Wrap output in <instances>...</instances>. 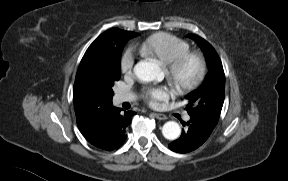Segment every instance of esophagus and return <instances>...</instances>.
<instances>
[{
  "label": "esophagus",
  "mask_w": 288,
  "mask_h": 181,
  "mask_svg": "<svg viewBox=\"0 0 288 181\" xmlns=\"http://www.w3.org/2000/svg\"><path fill=\"white\" fill-rule=\"evenodd\" d=\"M153 115L155 116V118L159 119V120H166L167 116L165 114L162 113H153Z\"/></svg>",
  "instance_id": "34e87169"
}]
</instances>
